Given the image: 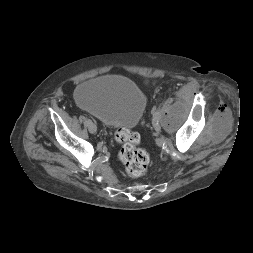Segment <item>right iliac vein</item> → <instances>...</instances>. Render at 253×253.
<instances>
[{
    "instance_id": "1",
    "label": "right iliac vein",
    "mask_w": 253,
    "mask_h": 253,
    "mask_svg": "<svg viewBox=\"0 0 253 253\" xmlns=\"http://www.w3.org/2000/svg\"><path fill=\"white\" fill-rule=\"evenodd\" d=\"M89 131L91 132V133H95L96 131H97V127H96V125L94 124V123H90L89 124Z\"/></svg>"
}]
</instances>
